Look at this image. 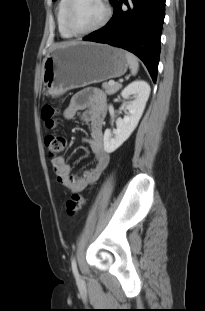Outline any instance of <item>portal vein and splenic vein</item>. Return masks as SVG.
<instances>
[{
    "mask_svg": "<svg viewBox=\"0 0 205 311\" xmlns=\"http://www.w3.org/2000/svg\"><path fill=\"white\" fill-rule=\"evenodd\" d=\"M109 84L113 85V84H115V82L114 81H110Z\"/></svg>",
    "mask_w": 205,
    "mask_h": 311,
    "instance_id": "1",
    "label": "portal vein and splenic vein"
}]
</instances>
